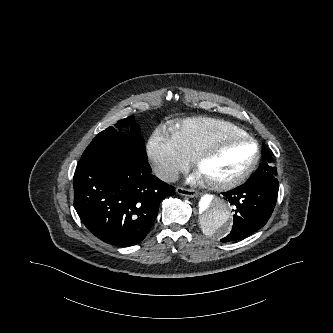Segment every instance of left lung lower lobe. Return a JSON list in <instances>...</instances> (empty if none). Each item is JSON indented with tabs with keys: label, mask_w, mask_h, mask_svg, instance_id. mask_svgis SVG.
Here are the masks:
<instances>
[{
	"label": "left lung lower lobe",
	"mask_w": 333,
	"mask_h": 333,
	"mask_svg": "<svg viewBox=\"0 0 333 333\" xmlns=\"http://www.w3.org/2000/svg\"><path fill=\"white\" fill-rule=\"evenodd\" d=\"M262 154L269 155L263 143ZM279 185L274 183H247L223 193L234 206L232 231L221 239L222 242L244 239L262 228L269 220L275 207Z\"/></svg>",
	"instance_id": "1"
}]
</instances>
